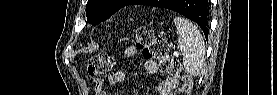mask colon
<instances>
[{"label": "colon", "instance_id": "1", "mask_svg": "<svg viewBox=\"0 0 277 95\" xmlns=\"http://www.w3.org/2000/svg\"><path fill=\"white\" fill-rule=\"evenodd\" d=\"M136 46L148 58L156 59L161 69L184 80V84L177 94H190L193 80L189 76L180 61H178L168 48L167 41L154 34L146 27L136 29ZM114 65V59L105 53L92 56L87 62V72L91 77H100L108 74Z\"/></svg>", "mask_w": 277, "mask_h": 95}]
</instances>
